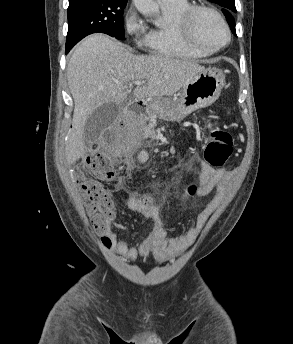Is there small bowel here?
I'll use <instances>...</instances> for the list:
<instances>
[{"label": "small bowel", "mask_w": 293, "mask_h": 344, "mask_svg": "<svg viewBox=\"0 0 293 344\" xmlns=\"http://www.w3.org/2000/svg\"><path fill=\"white\" fill-rule=\"evenodd\" d=\"M187 125L191 126V124ZM232 178V172L224 169H214L203 162L201 176L196 186L197 193L207 195L219 184L228 186ZM120 189L121 184H118L117 190ZM223 196L224 191L222 190L198 212L194 224L178 235H169L167 233L161 210L158 207L144 204L135 195L128 196L125 200L127 207L131 210L143 211L152 221V228L146 233L144 240L140 244H129L126 239L117 237L113 231L114 229L125 230V228L114 220H110L106 223L102 232L101 242L107 250L115 252L128 261H133L138 256L147 258L152 255L159 263L167 262L180 255L194 243L210 215L219 206Z\"/></svg>", "instance_id": "1"}]
</instances>
